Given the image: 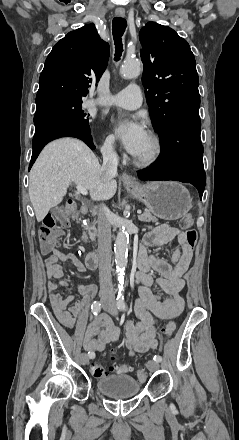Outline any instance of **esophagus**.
<instances>
[{"instance_id":"obj_1","label":"esophagus","mask_w":239,"mask_h":440,"mask_svg":"<svg viewBox=\"0 0 239 440\" xmlns=\"http://www.w3.org/2000/svg\"><path fill=\"white\" fill-rule=\"evenodd\" d=\"M115 14L117 15V17H124L125 11L116 10ZM122 180L124 183H132V184L138 185V182L136 181V179L134 177H131L127 173L122 174Z\"/></svg>"}]
</instances>
